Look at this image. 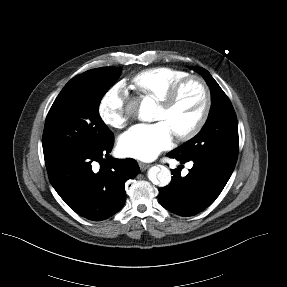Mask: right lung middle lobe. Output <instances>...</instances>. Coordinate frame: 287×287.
I'll return each instance as SVG.
<instances>
[{"label":"right lung middle lobe","instance_id":"right-lung-middle-lobe-1","mask_svg":"<svg viewBox=\"0 0 287 287\" xmlns=\"http://www.w3.org/2000/svg\"><path fill=\"white\" fill-rule=\"evenodd\" d=\"M121 71V67L92 69L65 85L46 117L42 142L45 161L101 146L113 137L99 116V105Z\"/></svg>","mask_w":287,"mask_h":287}]
</instances>
